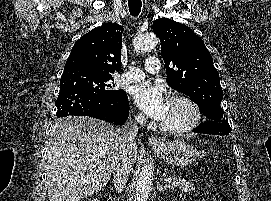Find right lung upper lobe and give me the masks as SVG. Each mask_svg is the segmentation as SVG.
<instances>
[{"label": "right lung upper lobe", "mask_w": 271, "mask_h": 201, "mask_svg": "<svg viewBox=\"0 0 271 201\" xmlns=\"http://www.w3.org/2000/svg\"><path fill=\"white\" fill-rule=\"evenodd\" d=\"M123 27L105 23L78 39L67 59L64 71L82 69L112 74L121 69Z\"/></svg>", "instance_id": "cb5924a9"}]
</instances>
